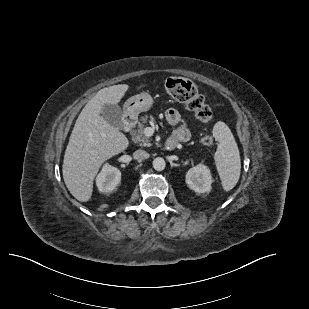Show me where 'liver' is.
<instances>
[{
  "mask_svg": "<svg viewBox=\"0 0 309 309\" xmlns=\"http://www.w3.org/2000/svg\"><path fill=\"white\" fill-rule=\"evenodd\" d=\"M128 89L126 84L101 89L76 120L65 151L62 172L68 190L78 201H89L93 181L101 165L129 145L127 137L101 116L103 106L119 103Z\"/></svg>",
  "mask_w": 309,
  "mask_h": 309,
  "instance_id": "1",
  "label": "liver"
}]
</instances>
